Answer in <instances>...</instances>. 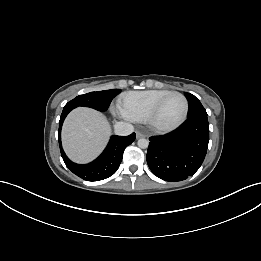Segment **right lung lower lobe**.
I'll use <instances>...</instances> for the list:
<instances>
[{
  "label": "right lung lower lobe",
  "instance_id": "98d812e1",
  "mask_svg": "<svg viewBox=\"0 0 261 261\" xmlns=\"http://www.w3.org/2000/svg\"><path fill=\"white\" fill-rule=\"evenodd\" d=\"M72 108H64L59 121V146L62 158L71 172L87 181H99L112 176L120 166L125 148L135 140V133L129 136H112L103 153L93 162L85 165L73 163L63 151L61 128Z\"/></svg>",
  "mask_w": 261,
  "mask_h": 261
}]
</instances>
